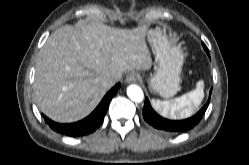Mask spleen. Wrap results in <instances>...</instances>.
<instances>
[{
  "label": "spleen",
  "mask_w": 249,
  "mask_h": 165,
  "mask_svg": "<svg viewBox=\"0 0 249 165\" xmlns=\"http://www.w3.org/2000/svg\"><path fill=\"white\" fill-rule=\"evenodd\" d=\"M204 98V82L199 80L196 88L172 101L152 99L154 109L164 117L184 119L194 114Z\"/></svg>",
  "instance_id": "1"
}]
</instances>
